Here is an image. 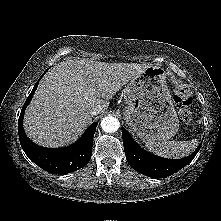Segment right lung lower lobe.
<instances>
[{"mask_svg":"<svg viewBox=\"0 0 221 221\" xmlns=\"http://www.w3.org/2000/svg\"><path fill=\"white\" fill-rule=\"evenodd\" d=\"M44 74L45 72L42 76ZM39 80L36 82L32 92L28 96L18 120V134L22 149L31 161L47 172L64 174L78 170L86 165L91 158L92 141L97 123L91 124L82 137L69 147L50 149L38 146L30 141L23 129V116L27 105L30 103L33 94L38 87Z\"/></svg>","mask_w":221,"mask_h":221,"instance_id":"1","label":"right lung lower lobe"}]
</instances>
